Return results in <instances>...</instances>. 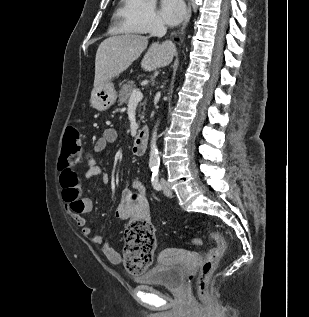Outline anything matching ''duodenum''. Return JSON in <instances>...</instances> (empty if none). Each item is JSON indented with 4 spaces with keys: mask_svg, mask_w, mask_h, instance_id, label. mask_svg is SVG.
I'll use <instances>...</instances> for the list:
<instances>
[{
    "mask_svg": "<svg viewBox=\"0 0 309 317\" xmlns=\"http://www.w3.org/2000/svg\"><path fill=\"white\" fill-rule=\"evenodd\" d=\"M148 142V128L146 126H143L139 129L133 145H132V152L135 155H143Z\"/></svg>",
    "mask_w": 309,
    "mask_h": 317,
    "instance_id": "obj_1",
    "label": "duodenum"
}]
</instances>
